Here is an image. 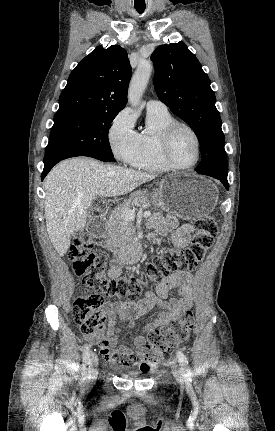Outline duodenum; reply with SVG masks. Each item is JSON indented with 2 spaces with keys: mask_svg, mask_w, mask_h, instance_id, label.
<instances>
[{
  "mask_svg": "<svg viewBox=\"0 0 275 431\" xmlns=\"http://www.w3.org/2000/svg\"><path fill=\"white\" fill-rule=\"evenodd\" d=\"M105 226L106 220L104 218H100L93 230L94 235L96 237H100ZM142 254L143 248L141 242L137 239H132L117 249L114 253V256L121 263L133 264L140 260Z\"/></svg>",
  "mask_w": 275,
  "mask_h": 431,
  "instance_id": "410a0bca",
  "label": "duodenum"
}]
</instances>
